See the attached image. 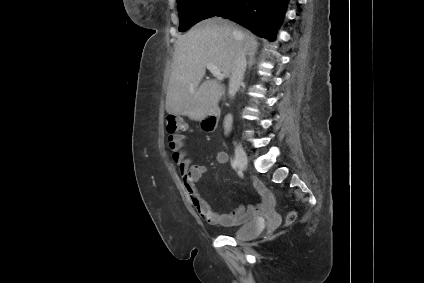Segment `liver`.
Masks as SVG:
<instances>
[{"label":"liver","mask_w":424,"mask_h":283,"mask_svg":"<svg viewBox=\"0 0 424 283\" xmlns=\"http://www.w3.org/2000/svg\"><path fill=\"white\" fill-rule=\"evenodd\" d=\"M257 47L250 31L220 17L197 23L176 42L166 94L167 113L204 120L217 105L223 90L215 79L199 86L206 64L213 63L224 77H230L239 50L250 54Z\"/></svg>","instance_id":"obj_1"}]
</instances>
